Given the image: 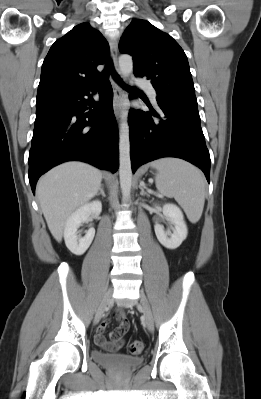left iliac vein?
Wrapping results in <instances>:
<instances>
[{"label": "left iliac vein", "mask_w": 261, "mask_h": 399, "mask_svg": "<svg viewBox=\"0 0 261 399\" xmlns=\"http://www.w3.org/2000/svg\"><path fill=\"white\" fill-rule=\"evenodd\" d=\"M143 310L145 325L149 331H152L154 328V321L152 311L149 305V302L144 294H140V303L138 304Z\"/></svg>", "instance_id": "obj_1"}]
</instances>
